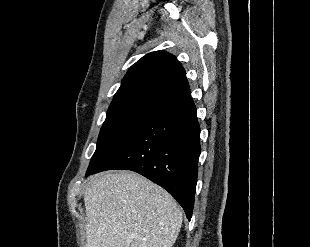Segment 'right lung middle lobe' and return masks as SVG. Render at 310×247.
Instances as JSON below:
<instances>
[{"label": "right lung middle lobe", "instance_id": "right-lung-middle-lobe-1", "mask_svg": "<svg viewBox=\"0 0 310 247\" xmlns=\"http://www.w3.org/2000/svg\"><path fill=\"white\" fill-rule=\"evenodd\" d=\"M158 112L157 109L147 106L108 112L87 173L106 162L143 124Z\"/></svg>", "mask_w": 310, "mask_h": 247}]
</instances>
